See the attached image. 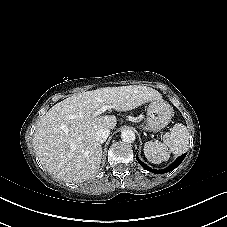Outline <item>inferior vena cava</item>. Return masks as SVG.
Returning <instances> with one entry per match:
<instances>
[{"label":"inferior vena cava","mask_w":227,"mask_h":227,"mask_svg":"<svg viewBox=\"0 0 227 227\" xmlns=\"http://www.w3.org/2000/svg\"><path fill=\"white\" fill-rule=\"evenodd\" d=\"M109 135H110V129L108 128L99 129L96 131L94 135V139L98 143H104Z\"/></svg>","instance_id":"inferior-vena-cava-1"}]
</instances>
